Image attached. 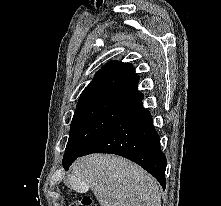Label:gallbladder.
Here are the masks:
<instances>
[{
    "label": "gallbladder",
    "mask_w": 221,
    "mask_h": 206,
    "mask_svg": "<svg viewBox=\"0 0 221 206\" xmlns=\"http://www.w3.org/2000/svg\"><path fill=\"white\" fill-rule=\"evenodd\" d=\"M66 186H71V190H80L81 194H84L85 190L89 188L86 181H66Z\"/></svg>",
    "instance_id": "obj_1"
}]
</instances>
